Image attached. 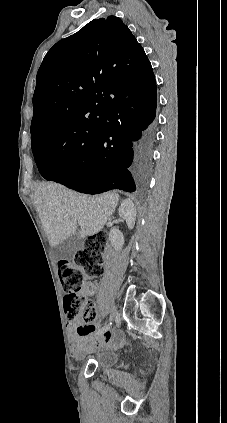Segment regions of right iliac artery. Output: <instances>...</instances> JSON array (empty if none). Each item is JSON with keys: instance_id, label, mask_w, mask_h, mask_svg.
I'll return each instance as SVG.
<instances>
[{"instance_id": "obj_1", "label": "right iliac artery", "mask_w": 227, "mask_h": 423, "mask_svg": "<svg viewBox=\"0 0 227 423\" xmlns=\"http://www.w3.org/2000/svg\"><path fill=\"white\" fill-rule=\"evenodd\" d=\"M111 325H112V322H110L108 325L102 327L101 329L98 330L97 334L98 335L103 334L104 332H106L110 328Z\"/></svg>"}]
</instances>
